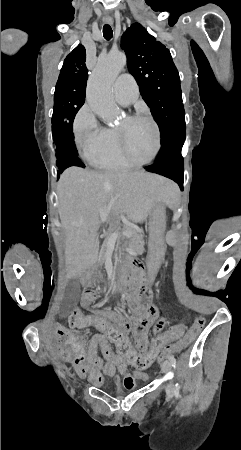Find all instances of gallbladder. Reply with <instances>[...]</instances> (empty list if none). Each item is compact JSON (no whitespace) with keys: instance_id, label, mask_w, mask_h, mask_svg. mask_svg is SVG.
<instances>
[{"instance_id":"obj_1","label":"gallbladder","mask_w":241,"mask_h":450,"mask_svg":"<svg viewBox=\"0 0 241 450\" xmlns=\"http://www.w3.org/2000/svg\"><path fill=\"white\" fill-rule=\"evenodd\" d=\"M77 280H70L69 286L65 288V296L60 308L61 315H70L71 310H78L80 288Z\"/></svg>"}]
</instances>
